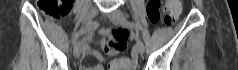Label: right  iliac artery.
<instances>
[{"label":"right iliac artery","mask_w":238,"mask_h":70,"mask_svg":"<svg viewBox=\"0 0 238 70\" xmlns=\"http://www.w3.org/2000/svg\"><path fill=\"white\" fill-rule=\"evenodd\" d=\"M97 27H98V23H97V22H91V23L88 24L87 26L81 28V29L79 30V32L77 33L76 38H75V40H74L73 43L76 42V39H77L79 36H81L82 34H84V33L87 32V31H90V30H92V29H96Z\"/></svg>","instance_id":"1"}]
</instances>
